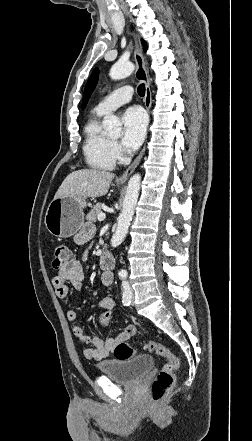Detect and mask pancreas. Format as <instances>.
<instances>
[{"instance_id":"cf45deb5","label":"pancreas","mask_w":252,"mask_h":441,"mask_svg":"<svg viewBox=\"0 0 252 441\" xmlns=\"http://www.w3.org/2000/svg\"><path fill=\"white\" fill-rule=\"evenodd\" d=\"M100 213H102V205L96 204L89 214H87L86 219L91 222H96V218Z\"/></svg>"}]
</instances>
